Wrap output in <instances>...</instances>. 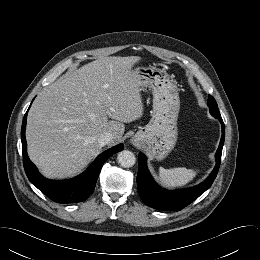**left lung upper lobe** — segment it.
<instances>
[{"instance_id": "left-lung-upper-lobe-1", "label": "left lung upper lobe", "mask_w": 260, "mask_h": 260, "mask_svg": "<svg viewBox=\"0 0 260 260\" xmlns=\"http://www.w3.org/2000/svg\"><path fill=\"white\" fill-rule=\"evenodd\" d=\"M208 106L210 108V113L214 117L219 118L220 117V113L218 111L217 103H216L215 99L212 96H210V95H209V98H208Z\"/></svg>"}]
</instances>
